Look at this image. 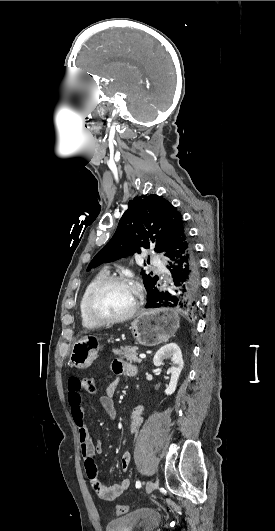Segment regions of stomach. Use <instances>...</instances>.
I'll use <instances>...</instances> for the list:
<instances>
[{
  "mask_svg": "<svg viewBox=\"0 0 275 531\" xmlns=\"http://www.w3.org/2000/svg\"><path fill=\"white\" fill-rule=\"evenodd\" d=\"M179 319L174 309H146L134 319L130 329L136 343L144 347H155L173 337L179 327ZM99 349L98 337H81L72 345L69 361L71 367L87 369L97 357Z\"/></svg>",
  "mask_w": 275,
  "mask_h": 531,
  "instance_id": "1",
  "label": "stomach"
}]
</instances>
